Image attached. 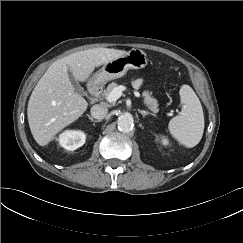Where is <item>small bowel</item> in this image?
Segmentation results:
<instances>
[{
    "instance_id": "c3829d8e",
    "label": "small bowel",
    "mask_w": 243,
    "mask_h": 243,
    "mask_svg": "<svg viewBox=\"0 0 243 243\" xmlns=\"http://www.w3.org/2000/svg\"><path fill=\"white\" fill-rule=\"evenodd\" d=\"M142 85V80L141 79H134L133 80V86L135 88H139Z\"/></svg>"
}]
</instances>
